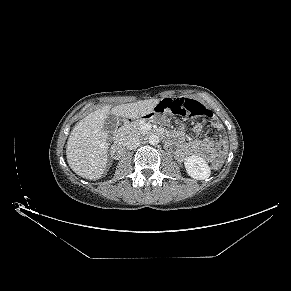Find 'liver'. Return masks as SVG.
<instances>
[{"label":"liver","mask_w":291,"mask_h":291,"mask_svg":"<svg viewBox=\"0 0 291 291\" xmlns=\"http://www.w3.org/2000/svg\"><path fill=\"white\" fill-rule=\"evenodd\" d=\"M160 99L141 100L134 103L103 106L79 121L67 141L66 156L70 168L85 179L101 177L107 165L108 134L104 130V119L109 113L137 119L153 111Z\"/></svg>","instance_id":"obj_1"}]
</instances>
